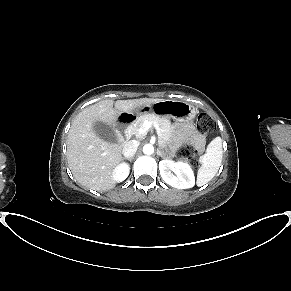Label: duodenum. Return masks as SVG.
Masks as SVG:
<instances>
[{"mask_svg": "<svg viewBox=\"0 0 291 291\" xmlns=\"http://www.w3.org/2000/svg\"><path fill=\"white\" fill-rule=\"evenodd\" d=\"M135 116L133 114H127L117 126L119 139L126 141L129 138L128 127L134 122Z\"/></svg>", "mask_w": 291, "mask_h": 291, "instance_id": "1", "label": "duodenum"}]
</instances>
